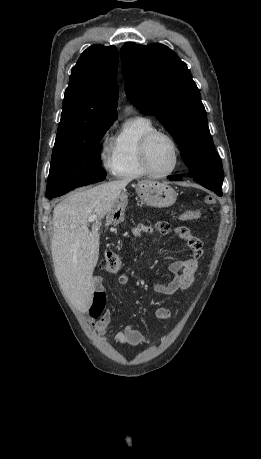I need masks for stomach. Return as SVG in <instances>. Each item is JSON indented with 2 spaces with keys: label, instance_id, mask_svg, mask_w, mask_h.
<instances>
[{
  "label": "stomach",
  "instance_id": "obj_1",
  "mask_svg": "<svg viewBox=\"0 0 261 459\" xmlns=\"http://www.w3.org/2000/svg\"><path fill=\"white\" fill-rule=\"evenodd\" d=\"M136 192L143 203L155 208H167L176 202L177 193L167 183L153 180H142L136 185ZM115 208L112 210L114 215L113 221H116V215L123 216V205L126 203L127 195L122 193L119 197ZM118 218V217H117Z\"/></svg>",
  "mask_w": 261,
  "mask_h": 459
}]
</instances>
